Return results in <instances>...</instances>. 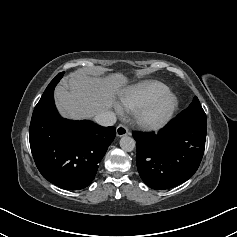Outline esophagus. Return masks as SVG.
Returning a JSON list of instances; mask_svg holds the SVG:
<instances>
[{
  "label": "esophagus",
  "instance_id": "1",
  "mask_svg": "<svg viewBox=\"0 0 237 237\" xmlns=\"http://www.w3.org/2000/svg\"><path fill=\"white\" fill-rule=\"evenodd\" d=\"M129 133V130L128 128L123 125V124H120L117 128H116V135L118 137H122V136H125Z\"/></svg>",
  "mask_w": 237,
  "mask_h": 237
}]
</instances>
